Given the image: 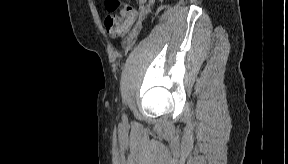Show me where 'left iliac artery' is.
<instances>
[{"instance_id":"1","label":"left iliac artery","mask_w":288,"mask_h":164,"mask_svg":"<svg viewBox=\"0 0 288 164\" xmlns=\"http://www.w3.org/2000/svg\"><path fill=\"white\" fill-rule=\"evenodd\" d=\"M123 119H124V120L126 119V115H123Z\"/></svg>"}]
</instances>
